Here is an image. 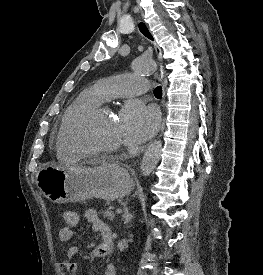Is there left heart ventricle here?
<instances>
[{"mask_svg":"<svg viewBox=\"0 0 263 275\" xmlns=\"http://www.w3.org/2000/svg\"><path fill=\"white\" fill-rule=\"evenodd\" d=\"M79 138L95 147L123 146L126 144L117 117L110 113L101 116L79 132Z\"/></svg>","mask_w":263,"mask_h":275,"instance_id":"obj_1","label":"left heart ventricle"}]
</instances>
